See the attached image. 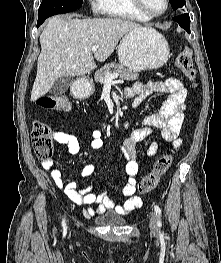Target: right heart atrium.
Listing matches in <instances>:
<instances>
[{"label": "right heart atrium", "mask_w": 221, "mask_h": 263, "mask_svg": "<svg viewBox=\"0 0 221 263\" xmlns=\"http://www.w3.org/2000/svg\"><path fill=\"white\" fill-rule=\"evenodd\" d=\"M91 9L94 12H101V8H100V0H88Z\"/></svg>", "instance_id": "obj_1"}]
</instances>
